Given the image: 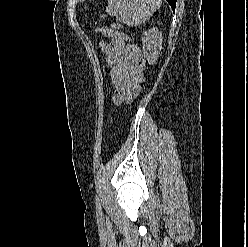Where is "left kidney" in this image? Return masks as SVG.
<instances>
[{
  "mask_svg": "<svg viewBox=\"0 0 248 247\" xmlns=\"http://www.w3.org/2000/svg\"><path fill=\"white\" fill-rule=\"evenodd\" d=\"M163 37L162 33L157 28L149 29L142 37L143 54L149 64L153 65L162 48Z\"/></svg>",
  "mask_w": 248,
  "mask_h": 247,
  "instance_id": "obj_1",
  "label": "left kidney"
}]
</instances>
